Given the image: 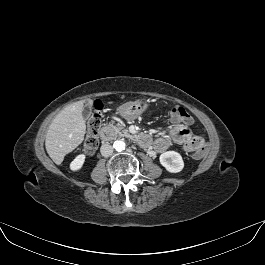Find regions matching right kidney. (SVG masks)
I'll use <instances>...</instances> for the list:
<instances>
[{"instance_id":"1","label":"right kidney","mask_w":265,"mask_h":265,"mask_svg":"<svg viewBox=\"0 0 265 265\" xmlns=\"http://www.w3.org/2000/svg\"><path fill=\"white\" fill-rule=\"evenodd\" d=\"M86 156L84 154L78 155L71 163H70V169L72 171H78L82 168Z\"/></svg>"}]
</instances>
